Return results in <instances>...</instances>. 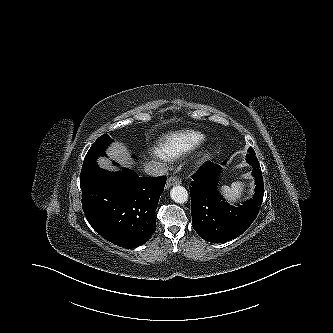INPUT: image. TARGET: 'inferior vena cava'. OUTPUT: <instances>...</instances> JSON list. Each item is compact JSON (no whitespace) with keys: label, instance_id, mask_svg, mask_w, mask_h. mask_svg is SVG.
I'll return each mask as SVG.
<instances>
[{"label":"inferior vena cava","instance_id":"1","mask_svg":"<svg viewBox=\"0 0 333 333\" xmlns=\"http://www.w3.org/2000/svg\"><path fill=\"white\" fill-rule=\"evenodd\" d=\"M145 172L153 177L164 176L168 174V168L164 163L150 161L144 167Z\"/></svg>","mask_w":333,"mask_h":333}]
</instances>
